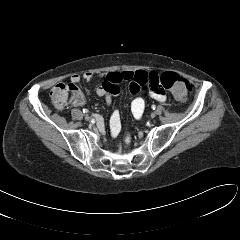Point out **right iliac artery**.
I'll list each match as a JSON object with an SVG mask.
<instances>
[{
  "label": "right iliac artery",
  "instance_id": "1",
  "mask_svg": "<svg viewBox=\"0 0 240 240\" xmlns=\"http://www.w3.org/2000/svg\"><path fill=\"white\" fill-rule=\"evenodd\" d=\"M83 113H88V110L87 109H83Z\"/></svg>",
  "mask_w": 240,
  "mask_h": 240
}]
</instances>
